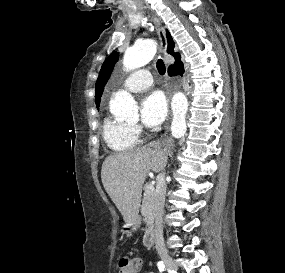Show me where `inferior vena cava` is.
<instances>
[{
  "label": "inferior vena cava",
  "mask_w": 285,
  "mask_h": 273,
  "mask_svg": "<svg viewBox=\"0 0 285 273\" xmlns=\"http://www.w3.org/2000/svg\"><path fill=\"white\" fill-rule=\"evenodd\" d=\"M156 192L154 197L155 212V247L159 254L167 253L163 240L162 213L166 194L165 173L161 172L157 176Z\"/></svg>",
  "instance_id": "obj_1"
}]
</instances>
